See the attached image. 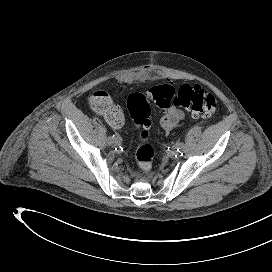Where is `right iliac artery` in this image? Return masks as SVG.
I'll list each match as a JSON object with an SVG mask.
<instances>
[{
	"label": "right iliac artery",
	"mask_w": 272,
	"mask_h": 272,
	"mask_svg": "<svg viewBox=\"0 0 272 272\" xmlns=\"http://www.w3.org/2000/svg\"><path fill=\"white\" fill-rule=\"evenodd\" d=\"M119 134L117 133V132H111L110 134H109V139L111 140V141H117V140H119Z\"/></svg>",
	"instance_id": "obj_1"
}]
</instances>
